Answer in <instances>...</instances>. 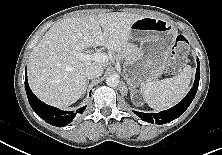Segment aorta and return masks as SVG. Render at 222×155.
<instances>
[{
    "label": "aorta",
    "mask_w": 222,
    "mask_h": 155,
    "mask_svg": "<svg viewBox=\"0 0 222 155\" xmlns=\"http://www.w3.org/2000/svg\"><path fill=\"white\" fill-rule=\"evenodd\" d=\"M106 84L110 87H116L119 84V76L118 75H110L106 78Z\"/></svg>",
    "instance_id": "obj_1"
}]
</instances>
